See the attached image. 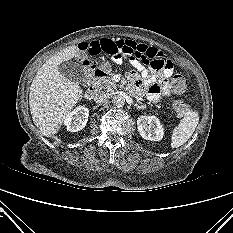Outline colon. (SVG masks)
<instances>
[{"label": "colon", "mask_w": 233, "mask_h": 233, "mask_svg": "<svg viewBox=\"0 0 233 233\" xmlns=\"http://www.w3.org/2000/svg\"><path fill=\"white\" fill-rule=\"evenodd\" d=\"M171 86L176 94H182L186 90V79L183 75L177 74L172 78ZM173 109L178 116H183L189 110V106L182 100L173 102Z\"/></svg>", "instance_id": "5ec220e1"}]
</instances>
